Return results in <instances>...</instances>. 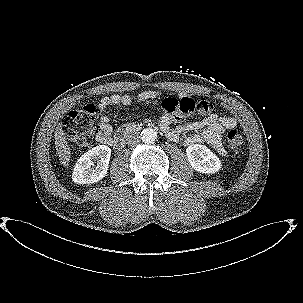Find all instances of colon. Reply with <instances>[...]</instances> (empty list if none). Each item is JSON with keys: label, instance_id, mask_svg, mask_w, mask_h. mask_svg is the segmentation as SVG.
Returning <instances> with one entry per match:
<instances>
[{"label": "colon", "instance_id": "obj_1", "mask_svg": "<svg viewBox=\"0 0 303 303\" xmlns=\"http://www.w3.org/2000/svg\"><path fill=\"white\" fill-rule=\"evenodd\" d=\"M204 102H196L194 99L183 96L181 98H166L163 107L177 118L183 119L195 114H200V108ZM98 113V108L92 104H86L82 110H71L63 120V128L69 140L79 149H86L90 145L93 133V123ZM229 147L239 152L244 145L243 135L232 129L227 133Z\"/></svg>", "mask_w": 303, "mask_h": 303}]
</instances>
